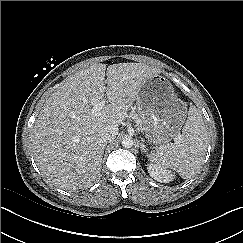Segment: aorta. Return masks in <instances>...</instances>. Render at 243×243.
I'll return each mask as SVG.
<instances>
[{"label":"aorta","instance_id":"1","mask_svg":"<svg viewBox=\"0 0 243 243\" xmlns=\"http://www.w3.org/2000/svg\"><path fill=\"white\" fill-rule=\"evenodd\" d=\"M134 145V140L131 136H124L122 139V146L125 148H131Z\"/></svg>","mask_w":243,"mask_h":243}]
</instances>
